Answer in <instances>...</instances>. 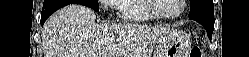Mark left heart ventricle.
<instances>
[{
    "mask_svg": "<svg viewBox=\"0 0 249 57\" xmlns=\"http://www.w3.org/2000/svg\"><path fill=\"white\" fill-rule=\"evenodd\" d=\"M156 9L162 14H173L180 9V0H157Z\"/></svg>",
    "mask_w": 249,
    "mask_h": 57,
    "instance_id": "b2bd125f",
    "label": "left heart ventricle"
}]
</instances>
